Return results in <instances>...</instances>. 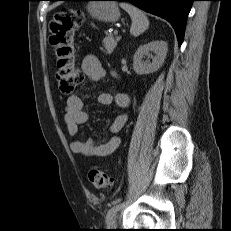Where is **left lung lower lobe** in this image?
Wrapping results in <instances>:
<instances>
[{
  "label": "left lung lower lobe",
  "mask_w": 231,
  "mask_h": 231,
  "mask_svg": "<svg viewBox=\"0 0 231 231\" xmlns=\"http://www.w3.org/2000/svg\"><path fill=\"white\" fill-rule=\"evenodd\" d=\"M58 1V0H51ZM127 1L140 9L167 20L176 32L178 45L183 42L188 14L194 0H114Z\"/></svg>",
  "instance_id": "0a47b994"
}]
</instances>
